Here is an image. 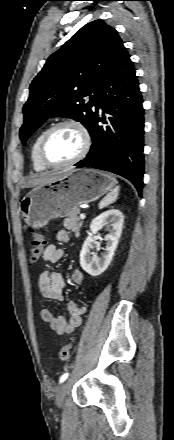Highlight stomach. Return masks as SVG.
Wrapping results in <instances>:
<instances>
[{"instance_id":"stomach-1","label":"stomach","mask_w":174,"mask_h":440,"mask_svg":"<svg viewBox=\"0 0 174 440\" xmlns=\"http://www.w3.org/2000/svg\"><path fill=\"white\" fill-rule=\"evenodd\" d=\"M116 184V179L92 169H75L48 183L34 187L20 203L24 221L34 227L51 219L70 216L80 204L95 201Z\"/></svg>"}]
</instances>
